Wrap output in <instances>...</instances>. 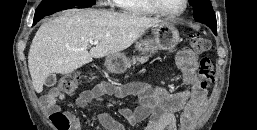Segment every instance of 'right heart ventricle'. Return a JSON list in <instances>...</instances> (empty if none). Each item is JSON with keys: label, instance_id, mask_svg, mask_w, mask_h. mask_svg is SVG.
Segmentation results:
<instances>
[{"label": "right heart ventricle", "instance_id": "e07e8e85", "mask_svg": "<svg viewBox=\"0 0 257 130\" xmlns=\"http://www.w3.org/2000/svg\"><path fill=\"white\" fill-rule=\"evenodd\" d=\"M123 13L133 16H150L157 12L150 6L148 0H112Z\"/></svg>", "mask_w": 257, "mask_h": 130}]
</instances>
